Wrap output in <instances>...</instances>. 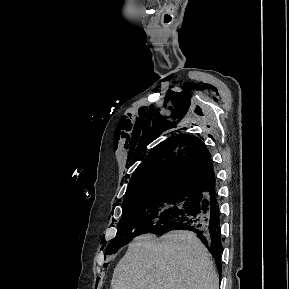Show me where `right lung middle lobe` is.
Masks as SVG:
<instances>
[{
	"label": "right lung middle lobe",
	"mask_w": 289,
	"mask_h": 289,
	"mask_svg": "<svg viewBox=\"0 0 289 289\" xmlns=\"http://www.w3.org/2000/svg\"><path fill=\"white\" fill-rule=\"evenodd\" d=\"M197 199V195L191 193L168 192L124 201L117 234L107 246L105 254L117 252L140 234L153 233L170 226L189 213Z\"/></svg>",
	"instance_id": "obj_1"
}]
</instances>
